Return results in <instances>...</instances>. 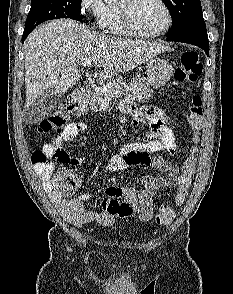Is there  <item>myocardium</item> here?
<instances>
[{"mask_svg":"<svg viewBox=\"0 0 233 294\" xmlns=\"http://www.w3.org/2000/svg\"><path fill=\"white\" fill-rule=\"evenodd\" d=\"M136 1L137 0H125L124 4L121 6L123 24L129 35L139 37V38L151 39V38L162 36L163 34L169 31V29L171 28L173 24V17H172V13L169 6L164 0H156V1L162 6L163 10L165 11V14H166L165 26L159 31H156L154 33H145L137 29L133 22V17H132V7Z\"/></svg>","mask_w":233,"mask_h":294,"instance_id":"f54148a6","label":"myocardium"}]
</instances>
